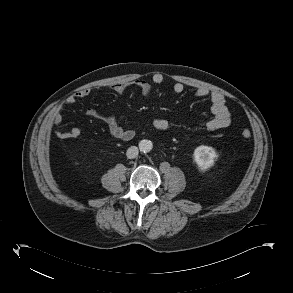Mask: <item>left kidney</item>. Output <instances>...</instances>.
Masks as SVG:
<instances>
[{
    "mask_svg": "<svg viewBox=\"0 0 293 293\" xmlns=\"http://www.w3.org/2000/svg\"><path fill=\"white\" fill-rule=\"evenodd\" d=\"M194 160L201 171H206L211 168L216 159L217 153L210 146L201 145L194 150Z\"/></svg>",
    "mask_w": 293,
    "mask_h": 293,
    "instance_id": "1",
    "label": "left kidney"
}]
</instances>
